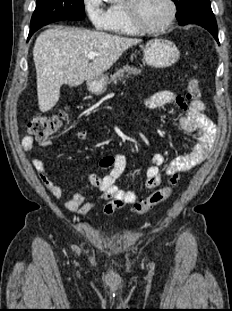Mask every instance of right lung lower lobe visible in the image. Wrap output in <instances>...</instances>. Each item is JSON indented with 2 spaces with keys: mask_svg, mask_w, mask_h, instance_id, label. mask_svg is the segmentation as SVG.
<instances>
[{
  "mask_svg": "<svg viewBox=\"0 0 232 311\" xmlns=\"http://www.w3.org/2000/svg\"><path fill=\"white\" fill-rule=\"evenodd\" d=\"M41 28V27H40ZM39 28H34V29H30V32H29V36H28V40L29 38L32 36V34L37 31Z\"/></svg>",
  "mask_w": 232,
  "mask_h": 311,
  "instance_id": "obj_1",
  "label": "right lung lower lobe"
}]
</instances>
